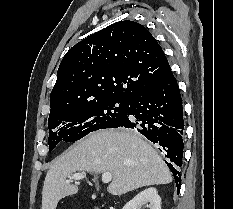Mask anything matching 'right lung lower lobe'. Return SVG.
Here are the masks:
<instances>
[{
	"label": "right lung lower lobe",
	"mask_w": 233,
	"mask_h": 209,
	"mask_svg": "<svg viewBox=\"0 0 233 209\" xmlns=\"http://www.w3.org/2000/svg\"><path fill=\"white\" fill-rule=\"evenodd\" d=\"M117 127L135 129L159 147L170 161L165 162L173 173L179 192L184 120L182 98L172 71L160 84L129 100L125 117L109 128Z\"/></svg>",
	"instance_id": "98d812e1"
}]
</instances>
